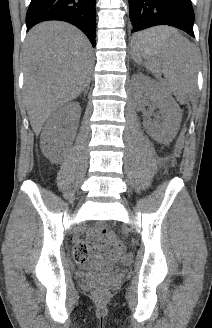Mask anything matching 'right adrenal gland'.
I'll return each mask as SVG.
<instances>
[{"mask_svg": "<svg viewBox=\"0 0 212 328\" xmlns=\"http://www.w3.org/2000/svg\"><path fill=\"white\" fill-rule=\"evenodd\" d=\"M88 89H89V86L87 87V90L85 91V93H87Z\"/></svg>", "mask_w": 212, "mask_h": 328, "instance_id": "obj_1", "label": "right adrenal gland"}]
</instances>
